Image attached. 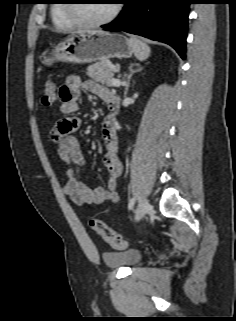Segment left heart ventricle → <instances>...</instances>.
Returning a JSON list of instances; mask_svg holds the SVG:
<instances>
[{
  "label": "left heart ventricle",
  "instance_id": "left-heart-ventricle-1",
  "mask_svg": "<svg viewBox=\"0 0 236 321\" xmlns=\"http://www.w3.org/2000/svg\"><path fill=\"white\" fill-rule=\"evenodd\" d=\"M113 6L110 0H87L81 4L80 14L88 20H101L110 14Z\"/></svg>",
  "mask_w": 236,
  "mask_h": 321
}]
</instances>
